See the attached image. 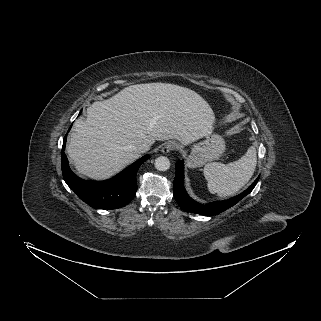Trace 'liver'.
<instances>
[{"label":"liver","instance_id":"1","mask_svg":"<svg viewBox=\"0 0 321 321\" xmlns=\"http://www.w3.org/2000/svg\"><path fill=\"white\" fill-rule=\"evenodd\" d=\"M215 116L195 91L169 83L124 88L87 108L76 120L68 156L82 175L106 179L139 158L135 148L177 139L190 144L211 134Z\"/></svg>","mask_w":321,"mask_h":321}]
</instances>
